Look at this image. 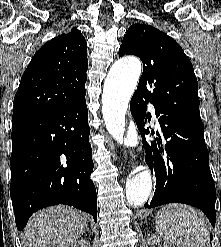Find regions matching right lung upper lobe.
<instances>
[{
	"instance_id": "cb5924a9",
	"label": "right lung upper lobe",
	"mask_w": 221,
	"mask_h": 247,
	"mask_svg": "<svg viewBox=\"0 0 221 247\" xmlns=\"http://www.w3.org/2000/svg\"><path fill=\"white\" fill-rule=\"evenodd\" d=\"M87 43L72 28L43 45L23 73L12 119L60 109L85 97Z\"/></svg>"
}]
</instances>
